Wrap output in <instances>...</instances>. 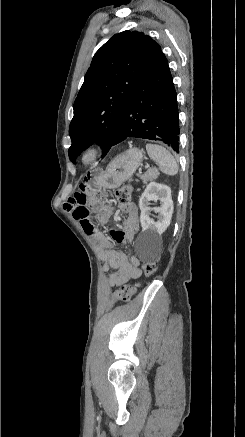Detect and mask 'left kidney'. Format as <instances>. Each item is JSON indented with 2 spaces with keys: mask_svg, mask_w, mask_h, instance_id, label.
<instances>
[{
  "mask_svg": "<svg viewBox=\"0 0 245 437\" xmlns=\"http://www.w3.org/2000/svg\"><path fill=\"white\" fill-rule=\"evenodd\" d=\"M160 201L159 207L151 208V201ZM140 222L145 236L157 238L169 227L173 213V201L170 187L151 182L140 197ZM158 213L157 221L150 217L151 211Z\"/></svg>",
  "mask_w": 245,
  "mask_h": 437,
  "instance_id": "left-kidney-1",
  "label": "left kidney"
}]
</instances>
